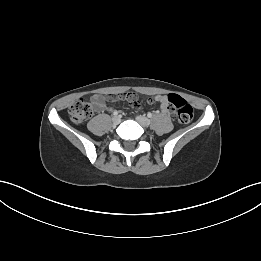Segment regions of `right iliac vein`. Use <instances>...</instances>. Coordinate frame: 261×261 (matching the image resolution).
Segmentation results:
<instances>
[{"label": "right iliac vein", "mask_w": 261, "mask_h": 261, "mask_svg": "<svg viewBox=\"0 0 261 261\" xmlns=\"http://www.w3.org/2000/svg\"><path fill=\"white\" fill-rule=\"evenodd\" d=\"M112 122H113L115 125H118V124L121 122L120 116H113V117H112Z\"/></svg>", "instance_id": "63e3f726"}]
</instances>
